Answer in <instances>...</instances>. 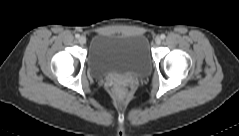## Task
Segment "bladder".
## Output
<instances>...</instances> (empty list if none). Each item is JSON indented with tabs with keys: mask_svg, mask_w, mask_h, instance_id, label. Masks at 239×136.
I'll list each match as a JSON object with an SVG mask.
<instances>
[{
	"mask_svg": "<svg viewBox=\"0 0 239 136\" xmlns=\"http://www.w3.org/2000/svg\"><path fill=\"white\" fill-rule=\"evenodd\" d=\"M151 63L150 45L143 35L100 32L91 41L88 65L95 77L141 75Z\"/></svg>",
	"mask_w": 239,
	"mask_h": 136,
	"instance_id": "obj_1",
	"label": "bladder"
}]
</instances>
